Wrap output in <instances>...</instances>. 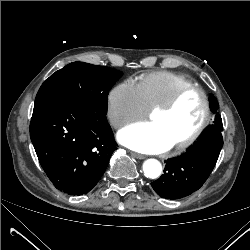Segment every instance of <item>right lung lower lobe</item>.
I'll return each instance as SVG.
<instances>
[{"instance_id":"1","label":"right lung lower lobe","mask_w":250,"mask_h":250,"mask_svg":"<svg viewBox=\"0 0 250 250\" xmlns=\"http://www.w3.org/2000/svg\"><path fill=\"white\" fill-rule=\"evenodd\" d=\"M30 137L51 182L70 195L97 184L117 146L106 114L66 100L34 104Z\"/></svg>"}]
</instances>
